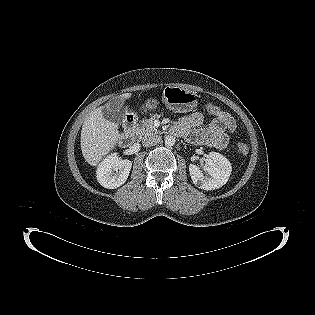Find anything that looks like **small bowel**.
Masks as SVG:
<instances>
[{
    "label": "small bowel",
    "mask_w": 315,
    "mask_h": 315,
    "mask_svg": "<svg viewBox=\"0 0 315 315\" xmlns=\"http://www.w3.org/2000/svg\"><path fill=\"white\" fill-rule=\"evenodd\" d=\"M203 121L204 117L200 112H193L181 117L172 127V132L175 135L184 136L193 144L224 149L229 141L228 133L233 131L228 130L226 122L221 118L212 116V120L205 129L201 128Z\"/></svg>",
    "instance_id": "c3829d8e"
}]
</instances>
